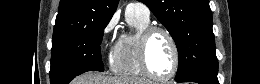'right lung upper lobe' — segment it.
<instances>
[{
    "mask_svg": "<svg viewBox=\"0 0 260 84\" xmlns=\"http://www.w3.org/2000/svg\"><path fill=\"white\" fill-rule=\"evenodd\" d=\"M119 0H61L53 36L74 31L88 23L109 20Z\"/></svg>",
    "mask_w": 260,
    "mask_h": 84,
    "instance_id": "cb5924a9",
    "label": "right lung upper lobe"
}]
</instances>
